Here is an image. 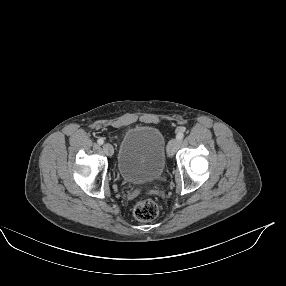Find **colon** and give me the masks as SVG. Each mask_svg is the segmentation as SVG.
<instances>
[{
	"label": "colon",
	"mask_w": 286,
	"mask_h": 286,
	"mask_svg": "<svg viewBox=\"0 0 286 286\" xmlns=\"http://www.w3.org/2000/svg\"><path fill=\"white\" fill-rule=\"evenodd\" d=\"M158 205L150 199H140L133 206L135 218L141 221H150L158 215Z\"/></svg>",
	"instance_id": "colon-1"
}]
</instances>
